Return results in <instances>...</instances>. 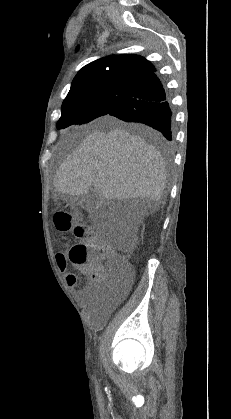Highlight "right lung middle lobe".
<instances>
[{
	"instance_id": "obj_1",
	"label": "right lung middle lobe",
	"mask_w": 231,
	"mask_h": 419,
	"mask_svg": "<svg viewBox=\"0 0 231 419\" xmlns=\"http://www.w3.org/2000/svg\"><path fill=\"white\" fill-rule=\"evenodd\" d=\"M128 85H103L82 88L67 95L57 129L73 124H84L107 115L133 90Z\"/></svg>"
}]
</instances>
